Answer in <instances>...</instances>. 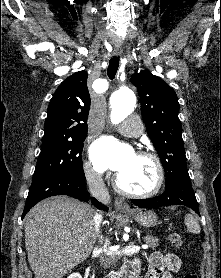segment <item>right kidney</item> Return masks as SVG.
<instances>
[{
  "label": "right kidney",
  "instance_id": "obj_1",
  "mask_svg": "<svg viewBox=\"0 0 221 278\" xmlns=\"http://www.w3.org/2000/svg\"><path fill=\"white\" fill-rule=\"evenodd\" d=\"M67 278H82L81 275L79 273H72L70 276H68Z\"/></svg>",
  "mask_w": 221,
  "mask_h": 278
}]
</instances>
